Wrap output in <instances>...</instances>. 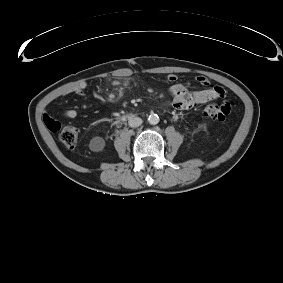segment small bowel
Returning a JSON list of instances; mask_svg holds the SVG:
<instances>
[{"instance_id": "obj_1", "label": "small bowel", "mask_w": 283, "mask_h": 283, "mask_svg": "<svg viewBox=\"0 0 283 283\" xmlns=\"http://www.w3.org/2000/svg\"><path fill=\"white\" fill-rule=\"evenodd\" d=\"M166 82L170 84L168 94L171 98L173 107L181 111L191 110L198 105L224 98L226 95L225 90L221 86L210 87V81L204 76L196 77V82L205 87L198 91H190L184 84L179 83L177 76L173 74L166 77ZM86 89L87 83L81 82L72 92L77 95H83ZM63 117L74 119L77 117V111L72 108L67 109L64 111ZM44 121L48 129L52 130L58 128L59 123L53 118L45 115Z\"/></svg>"}]
</instances>
